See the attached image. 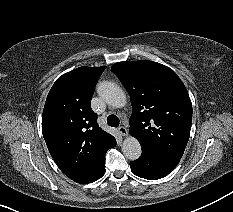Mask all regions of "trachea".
Instances as JSON below:
<instances>
[{
	"label": "trachea",
	"mask_w": 233,
	"mask_h": 212,
	"mask_svg": "<svg viewBox=\"0 0 233 212\" xmlns=\"http://www.w3.org/2000/svg\"><path fill=\"white\" fill-rule=\"evenodd\" d=\"M107 123L111 127H118L119 126V118L116 115H109L107 117Z\"/></svg>",
	"instance_id": "1"
}]
</instances>
